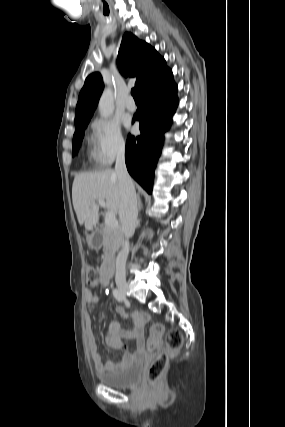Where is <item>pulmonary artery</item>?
Masks as SVG:
<instances>
[{
  "label": "pulmonary artery",
  "mask_w": 285,
  "mask_h": 427,
  "mask_svg": "<svg viewBox=\"0 0 285 427\" xmlns=\"http://www.w3.org/2000/svg\"><path fill=\"white\" fill-rule=\"evenodd\" d=\"M125 105L129 111H135L136 110V103L132 97L127 98Z\"/></svg>",
  "instance_id": "1"
}]
</instances>
